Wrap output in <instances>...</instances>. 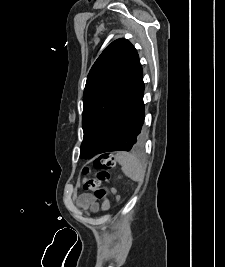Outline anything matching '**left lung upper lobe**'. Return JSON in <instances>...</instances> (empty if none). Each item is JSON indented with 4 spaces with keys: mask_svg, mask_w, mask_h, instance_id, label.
<instances>
[{
    "mask_svg": "<svg viewBox=\"0 0 225 267\" xmlns=\"http://www.w3.org/2000/svg\"><path fill=\"white\" fill-rule=\"evenodd\" d=\"M140 64L134 46L124 38L109 44L92 66L83 93L82 158L100 153L107 142L117 117L125 91ZM144 140V130L137 146Z\"/></svg>",
    "mask_w": 225,
    "mask_h": 267,
    "instance_id": "1",
    "label": "left lung upper lobe"
}]
</instances>
